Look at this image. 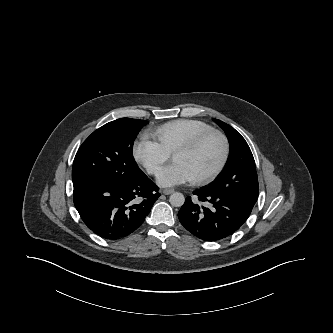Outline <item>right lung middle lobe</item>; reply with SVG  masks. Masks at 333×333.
<instances>
[{
	"instance_id": "1",
	"label": "right lung middle lobe",
	"mask_w": 333,
	"mask_h": 333,
	"mask_svg": "<svg viewBox=\"0 0 333 333\" xmlns=\"http://www.w3.org/2000/svg\"><path fill=\"white\" fill-rule=\"evenodd\" d=\"M147 123L120 118L94 131L76 153L73 186L95 181L131 182L141 171L133 157V143Z\"/></svg>"
}]
</instances>
